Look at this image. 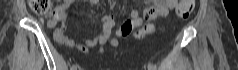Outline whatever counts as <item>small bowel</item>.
I'll return each mask as SVG.
<instances>
[{
    "label": "small bowel",
    "instance_id": "1",
    "mask_svg": "<svg viewBox=\"0 0 238 70\" xmlns=\"http://www.w3.org/2000/svg\"><path fill=\"white\" fill-rule=\"evenodd\" d=\"M90 3L95 4L98 0H89ZM177 2L180 0H152L149 1L153 5L152 8L148 9L145 14L141 15L138 11L133 10L131 12V19L126 21L118 30L119 36L129 35L134 28L141 26L145 21H154L157 18L165 17L169 14L172 9H177ZM73 3V0H64L56 8V17L57 20H65L68 14V9ZM56 20L51 21L50 26L56 24ZM115 22L114 18L111 15H105L102 18V27L98 35L94 39H85L83 38L80 42H76L70 39L64 33L63 29H58L54 33V38L61 44L74 47L77 50L82 52H87L88 48L95 47L99 45L100 52H103L102 46L106 43H110L111 46L117 48L118 40L116 38H111V32L114 28Z\"/></svg>",
    "mask_w": 238,
    "mask_h": 70
}]
</instances>
